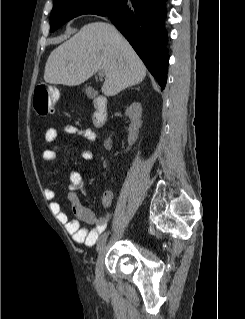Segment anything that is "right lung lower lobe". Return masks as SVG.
Returning <instances> with one entry per match:
<instances>
[{"instance_id": "1", "label": "right lung lower lobe", "mask_w": 245, "mask_h": 319, "mask_svg": "<svg viewBox=\"0 0 245 319\" xmlns=\"http://www.w3.org/2000/svg\"><path fill=\"white\" fill-rule=\"evenodd\" d=\"M166 0H123L107 16L126 37L163 89L167 80Z\"/></svg>"}]
</instances>
